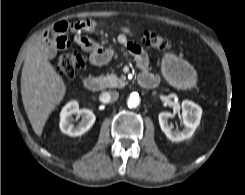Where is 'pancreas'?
Listing matches in <instances>:
<instances>
[{"label": "pancreas", "mask_w": 245, "mask_h": 195, "mask_svg": "<svg viewBox=\"0 0 245 195\" xmlns=\"http://www.w3.org/2000/svg\"><path fill=\"white\" fill-rule=\"evenodd\" d=\"M104 88H121L126 85V82L123 78H119L115 74H109L101 77Z\"/></svg>", "instance_id": "1"}]
</instances>
